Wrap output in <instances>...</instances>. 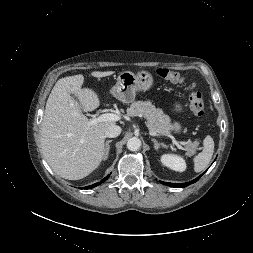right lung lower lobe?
Returning a JSON list of instances; mask_svg holds the SVG:
<instances>
[{"label":"right lung lower lobe","instance_id":"98d812e1","mask_svg":"<svg viewBox=\"0 0 253 253\" xmlns=\"http://www.w3.org/2000/svg\"><path fill=\"white\" fill-rule=\"evenodd\" d=\"M109 176L105 177L101 182L99 183H95L93 185H90V186H87V187H84V189H90V188H93V187H96L98 186L99 184H101L102 182H104Z\"/></svg>","mask_w":253,"mask_h":253}]
</instances>
